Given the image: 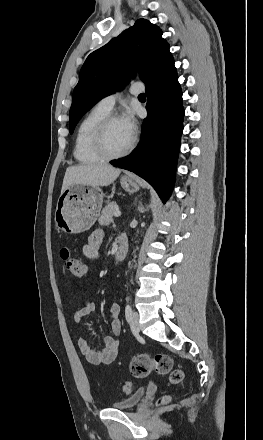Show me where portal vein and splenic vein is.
I'll return each mask as SVG.
<instances>
[{
  "instance_id": "portal-vein-and-splenic-vein-1",
  "label": "portal vein and splenic vein",
  "mask_w": 263,
  "mask_h": 440,
  "mask_svg": "<svg viewBox=\"0 0 263 440\" xmlns=\"http://www.w3.org/2000/svg\"><path fill=\"white\" fill-rule=\"evenodd\" d=\"M121 215V212L119 211V210H117L115 213H114V216H116V217H119Z\"/></svg>"
}]
</instances>
